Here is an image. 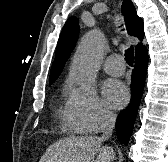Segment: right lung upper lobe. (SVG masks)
Returning a JSON list of instances; mask_svg holds the SVG:
<instances>
[{"label":"right lung upper lobe","instance_id":"1","mask_svg":"<svg viewBox=\"0 0 168 162\" xmlns=\"http://www.w3.org/2000/svg\"><path fill=\"white\" fill-rule=\"evenodd\" d=\"M122 14L124 16L128 34L142 39L144 36V25L140 17L137 16L136 10L131 0H124L122 5ZM75 16L70 17L60 34L56 49L55 60L51 67L49 82H54L63 70L65 62L70 56L72 49L78 38L79 25ZM146 47L138 44L135 48L136 54L146 51Z\"/></svg>","mask_w":168,"mask_h":162}]
</instances>
